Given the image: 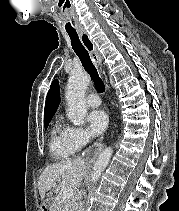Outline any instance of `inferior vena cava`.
<instances>
[{"mask_svg": "<svg viewBox=\"0 0 179 211\" xmlns=\"http://www.w3.org/2000/svg\"><path fill=\"white\" fill-rule=\"evenodd\" d=\"M79 211H83L82 204H80V209H79Z\"/></svg>", "mask_w": 179, "mask_h": 211, "instance_id": "602c4592", "label": "inferior vena cava"}]
</instances>
